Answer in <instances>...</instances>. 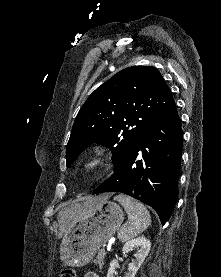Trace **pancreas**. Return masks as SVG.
<instances>
[{"mask_svg":"<svg viewBox=\"0 0 221 277\" xmlns=\"http://www.w3.org/2000/svg\"><path fill=\"white\" fill-rule=\"evenodd\" d=\"M105 256H106V252L105 251H102V250H99L98 251V255L96 257V259L94 260V264L99 266V268L101 269L104 265V259H105Z\"/></svg>","mask_w":221,"mask_h":277,"instance_id":"pancreas-1","label":"pancreas"}]
</instances>
